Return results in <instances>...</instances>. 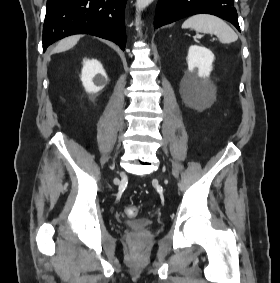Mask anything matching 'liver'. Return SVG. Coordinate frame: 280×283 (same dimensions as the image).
Masks as SVG:
<instances>
[{"instance_id": "1", "label": "liver", "mask_w": 280, "mask_h": 283, "mask_svg": "<svg viewBox=\"0 0 280 283\" xmlns=\"http://www.w3.org/2000/svg\"><path fill=\"white\" fill-rule=\"evenodd\" d=\"M80 38H81L80 35H75V36H71V37H67V38L63 39L53 49V53L63 52V51H66V50L74 47L76 45V43L79 41Z\"/></svg>"}]
</instances>
